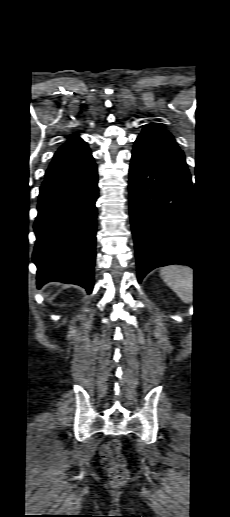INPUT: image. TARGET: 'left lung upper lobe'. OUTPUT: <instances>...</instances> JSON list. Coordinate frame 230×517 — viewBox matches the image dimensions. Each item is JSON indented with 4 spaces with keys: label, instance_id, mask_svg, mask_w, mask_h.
<instances>
[{
    "label": "left lung upper lobe",
    "instance_id": "1",
    "mask_svg": "<svg viewBox=\"0 0 230 517\" xmlns=\"http://www.w3.org/2000/svg\"><path fill=\"white\" fill-rule=\"evenodd\" d=\"M137 140L174 150L184 156L183 151L179 149L173 136L152 123L143 128Z\"/></svg>",
    "mask_w": 230,
    "mask_h": 517
}]
</instances>
